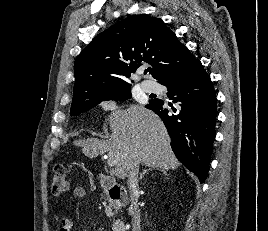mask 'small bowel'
Here are the masks:
<instances>
[{
    "instance_id": "1",
    "label": "small bowel",
    "mask_w": 268,
    "mask_h": 231,
    "mask_svg": "<svg viewBox=\"0 0 268 231\" xmlns=\"http://www.w3.org/2000/svg\"><path fill=\"white\" fill-rule=\"evenodd\" d=\"M86 196V190L82 186H75L71 190L70 199L81 200ZM72 221L69 217L63 216L59 221V231H72Z\"/></svg>"
}]
</instances>
